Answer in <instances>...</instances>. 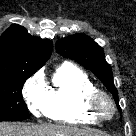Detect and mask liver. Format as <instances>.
<instances>
[{"label": "liver", "mask_w": 136, "mask_h": 136, "mask_svg": "<svg viewBox=\"0 0 136 136\" xmlns=\"http://www.w3.org/2000/svg\"><path fill=\"white\" fill-rule=\"evenodd\" d=\"M0 136H103V133L63 125H18L5 122L0 123Z\"/></svg>", "instance_id": "1"}]
</instances>
